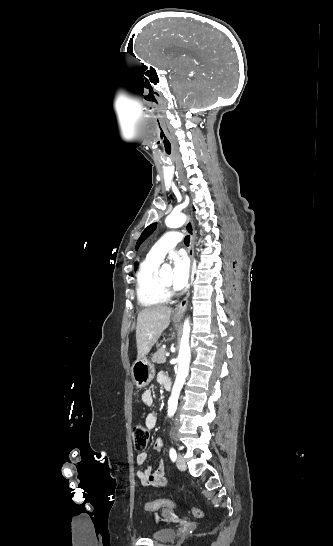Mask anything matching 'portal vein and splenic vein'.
<instances>
[{
    "mask_svg": "<svg viewBox=\"0 0 333 546\" xmlns=\"http://www.w3.org/2000/svg\"><path fill=\"white\" fill-rule=\"evenodd\" d=\"M166 356H167V357H169V356H170V353H169V352H167V353H166Z\"/></svg>",
    "mask_w": 333,
    "mask_h": 546,
    "instance_id": "18ae733b",
    "label": "portal vein and splenic vein"
}]
</instances>
